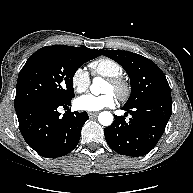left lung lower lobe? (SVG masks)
<instances>
[{
    "label": "left lung lower lobe",
    "instance_id": "obj_1",
    "mask_svg": "<svg viewBox=\"0 0 193 193\" xmlns=\"http://www.w3.org/2000/svg\"><path fill=\"white\" fill-rule=\"evenodd\" d=\"M122 109L132 117L126 122L123 116H115L113 124L104 129L108 145L121 155H146L161 138L172 114L170 89H165L132 108L123 106Z\"/></svg>",
    "mask_w": 193,
    "mask_h": 193
}]
</instances>
